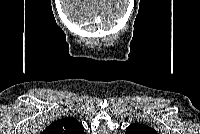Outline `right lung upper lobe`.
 Returning <instances> with one entry per match:
<instances>
[{
  "mask_svg": "<svg viewBox=\"0 0 200 134\" xmlns=\"http://www.w3.org/2000/svg\"><path fill=\"white\" fill-rule=\"evenodd\" d=\"M45 134H82L83 126L73 117L57 120L44 131Z\"/></svg>",
  "mask_w": 200,
  "mask_h": 134,
  "instance_id": "right-lung-upper-lobe-1",
  "label": "right lung upper lobe"
}]
</instances>
